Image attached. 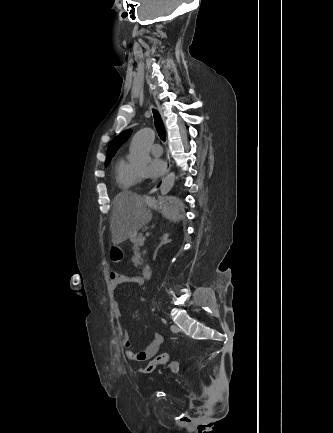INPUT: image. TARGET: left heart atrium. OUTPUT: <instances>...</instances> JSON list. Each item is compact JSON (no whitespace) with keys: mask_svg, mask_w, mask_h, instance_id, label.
I'll list each match as a JSON object with an SVG mask.
<instances>
[{"mask_svg":"<svg viewBox=\"0 0 333 433\" xmlns=\"http://www.w3.org/2000/svg\"><path fill=\"white\" fill-rule=\"evenodd\" d=\"M165 170V162L160 157H153L150 159L144 173L148 178L156 179Z\"/></svg>","mask_w":333,"mask_h":433,"instance_id":"obj_1","label":"left heart atrium"}]
</instances>
